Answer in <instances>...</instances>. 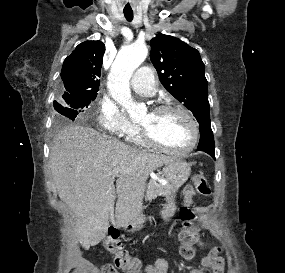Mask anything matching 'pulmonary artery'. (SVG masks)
<instances>
[{
	"mask_svg": "<svg viewBox=\"0 0 285 273\" xmlns=\"http://www.w3.org/2000/svg\"><path fill=\"white\" fill-rule=\"evenodd\" d=\"M132 88L145 95H153L157 89L153 70L148 66L138 68L131 78Z\"/></svg>",
	"mask_w": 285,
	"mask_h": 273,
	"instance_id": "pulmonary-artery-1",
	"label": "pulmonary artery"
}]
</instances>
